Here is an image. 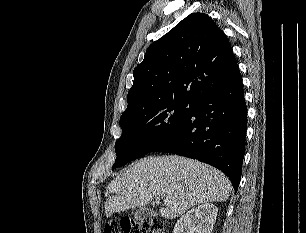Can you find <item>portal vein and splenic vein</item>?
Returning a JSON list of instances; mask_svg holds the SVG:
<instances>
[{
	"label": "portal vein and splenic vein",
	"instance_id": "portal-vein-and-splenic-vein-1",
	"mask_svg": "<svg viewBox=\"0 0 306 233\" xmlns=\"http://www.w3.org/2000/svg\"><path fill=\"white\" fill-rule=\"evenodd\" d=\"M157 200H160V196L156 197ZM168 200H164V202H167Z\"/></svg>",
	"mask_w": 306,
	"mask_h": 233
}]
</instances>
